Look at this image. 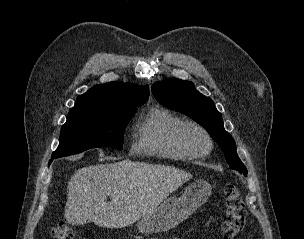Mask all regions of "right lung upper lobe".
<instances>
[{"label": "right lung upper lobe", "instance_id": "right-lung-upper-lobe-1", "mask_svg": "<svg viewBox=\"0 0 304 239\" xmlns=\"http://www.w3.org/2000/svg\"><path fill=\"white\" fill-rule=\"evenodd\" d=\"M149 97V87L132 83L110 82L94 86L79 96L69 114L84 112H117L129 106H140Z\"/></svg>", "mask_w": 304, "mask_h": 239}]
</instances>
